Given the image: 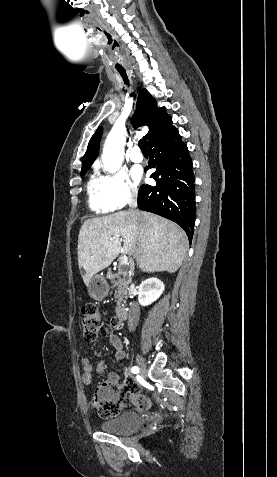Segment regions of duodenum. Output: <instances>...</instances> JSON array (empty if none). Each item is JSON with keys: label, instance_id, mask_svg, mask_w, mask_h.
Listing matches in <instances>:
<instances>
[{"label": "duodenum", "instance_id": "410a0bca", "mask_svg": "<svg viewBox=\"0 0 277 477\" xmlns=\"http://www.w3.org/2000/svg\"><path fill=\"white\" fill-rule=\"evenodd\" d=\"M116 315L119 321H124L127 319L128 312L124 306H118L116 309Z\"/></svg>", "mask_w": 277, "mask_h": 477}]
</instances>
